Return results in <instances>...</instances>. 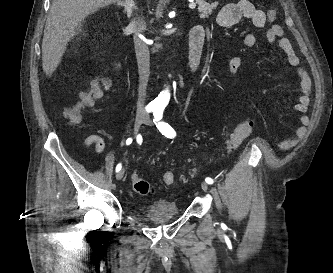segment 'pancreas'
Returning a JSON list of instances; mask_svg holds the SVG:
<instances>
[{"label":"pancreas","mask_w":333,"mask_h":273,"mask_svg":"<svg viewBox=\"0 0 333 273\" xmlns=\"http://www.w3.org/2000/svg\"><path fill=\"white\" fill-rule=\"evenodd\" d=\"M198 4V11L200 13V18L205 19L208 18L209 15L212 13V10L216 8V4H210L205 0H196Z\"/></svg>","instance_id":"pancreas-1"}]
</instances>
